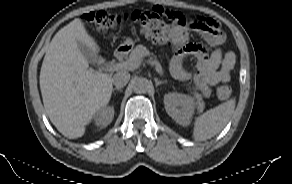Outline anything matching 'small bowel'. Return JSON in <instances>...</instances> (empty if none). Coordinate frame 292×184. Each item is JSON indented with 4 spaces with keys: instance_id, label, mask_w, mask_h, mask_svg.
Returning a JSON list of instances; mask_svg holds the SVG:
<instances>
[{
    "instance_id": "small-bowel-1",
    "label": "small bowel",
    "mask_w": 292,
    "mask_h": 184,
    "mask_svg": "<svg viewBox=\"0 0 292 184\" xmlns=\"http://www.w3.org/2000/svg\"><path fill=\"white\" fill-rule=\"evenodd\" d=\"M199 25L195 27L212 47L213 52L208 56L206 49L199 44L188 42L184 33L181 39L173 44L174 55L171 59V73L178 79L192 78L197 89L205 96L211 94V88L220 83L230 80L231 71L235 67L236 56L233 52H224L220 46L225 40L218 21L213 18L196 17ZM188 58L195 60L192 71L185 67Z\"/></svg>"
}]
</instances>
